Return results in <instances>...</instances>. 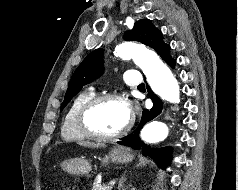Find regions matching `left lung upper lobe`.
Returning <instances> with one entry per match:
<instances>
[{"label": "left lung upper lobe", "instance_id": "left-lung-upper-lobe-1", "mask_svg": "<svg viewBox=\"0 0 238 190\" xmlns=\"http://www.w3.org/2000/svg\"><path fill=\"white\" fill-rule=\"evenodd\" d=\"M124 39L139 41L155 49L164 58L169 54L170 47L162 40V33L149 19L139 20L131 31L124 34ZM103 49L91 52L78 66L69 83L61 110L81 90V88L103 74Z\"/></svg>", "mask_w": 238, "mask_h": 190}]
</instances>
